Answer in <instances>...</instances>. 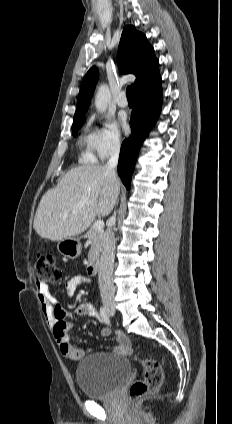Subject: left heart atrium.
<instances>
[{
    "label": "left heart atrium",
    "mask_w": 232,
    "mask_h": 424,
    "mask_svg": "<svg viewBox=\"0 0 232 424\" xmlns=\"http://www.w3.org/2000/svg\"><path fill=\"white\" fill-rule=\"evenodd\" d=\"M121 125H122V128H123L125 131H127V130H128V124H127V122H126V119H125V118H122V119H121Z\"/></svg>",
    "instance_id": "1"
}]
</instances>
